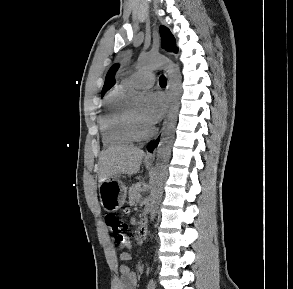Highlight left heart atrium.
Returning a JSON list of instances; mask_svg holds the SVG:
<instances>
[{
  "label": "left heart atrium",
  "instance_id": "39dd6f15",
  "mask_svg": "<svg viewBox=\"0 0 293 289\" xmlns=\"http://www.w3.org/2000/svg\"><path fill=\"white\" fill-rule=\"evenodd\" d=\"M166 110V99L159 92H150L146 96L145 108L143 111L144 123L151 127L158 123Z\"/></svg>",
  "mask_w": 293,
  "mask_h": 289
}]
</instances>
